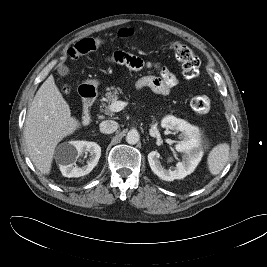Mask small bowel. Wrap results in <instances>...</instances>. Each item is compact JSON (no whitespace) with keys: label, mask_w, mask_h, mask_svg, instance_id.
<instances>
[{"label":"small bowel","mask_w":267,"mask_h":267,"mask_svg":"<svg viewBox=\"0 0 267 267\" xmlns=\"http://www.w3.org/2000/svg\"><path fill=\"white\" fill-rule=\"evenodd\" d=\"M109 61L124 65L135 72L143 69H156L159 71V76L147 75L138 79L136 82V88L138 90L149 88L157 94L168 95L179 84V79L176 74L169 71L159 62L144 61L136 55L122 51L113 53Z\"/></svg>","instance_id":"obj_1"}]
</instances>
